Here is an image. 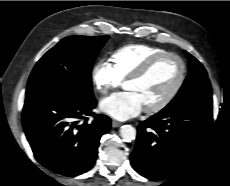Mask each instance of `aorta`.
Wrapping results in <instances>:
<instances>
[{
	"instance_id": "1",
	"label": "aorta",
	"mask_w": 230,
	"mask_h": 186,
	"mask_svg": "<svg viewBox=\"0 0 230 186\" xmlns=\"http://www.w3.org/2000/svg\"><path fill=\"white\" fill-rule=\"evenodd\" d=\"M120 134L124 142H131L136 138V129L131 125H124L120 129Z\"/></svg>"
}]
</instances>
